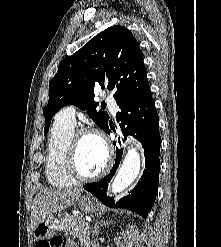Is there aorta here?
<instances>
[{"label": "aorta", "instance_id": "1", "mask_svg": "<svg viewBox=\"0 0 221 247\" xmlns=\"http://www.w3.org/2000/svg\"><path fill=\"white\" fill-rule=\"evenodd\" d=\"M141 168L140 153L136 147H128L123 163L111 182L113 194L121 193L130 186L139 175Z\"/></svg>", "mask_w": 221, "mask_h": 247}]
</instances>
